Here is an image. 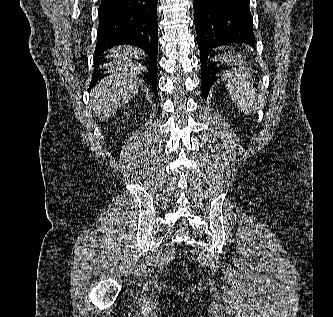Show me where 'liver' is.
I'll use <instances>...</instances> for the list:
<instances>
[{"label": "liver", "instance_id": "obj_1", "mask_svg": "<svg viewBox=\"0 0 333 317\" xmlns=\"http://www.w3.org/2000/svg\"><path fill=\"white\" fill-rule=\"evenodd\" d=\"M114 60L104 65L110 75L102 79L91 92L90 104L99 121H105L138 92L142 81L138 74L144 67L132 60L143 51L131 46H118L109 51Z\"/></svg>", "mask_w": 333, "mask_h": 317}]
</instances>
